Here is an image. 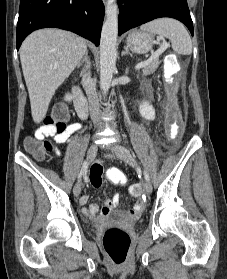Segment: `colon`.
<instances>
[{
    "label": "colon",
    "mask_w": 227,
    "mask_h": 279,
    "mask_svg": "<svg viewBox=\"0 0 227 279\" xmlns=\"http://www.w3.org/2000/svg\"><path fill=\"white\" fill-rule=\"evenodd\" d=\"M184 95L181 96V101L184 104ZM66 110L63 105H58L53 110V115L46 118L45 123L54 128L56 132H61L65 129ZM54 145L48 141L29 140L26 143V150L29 151L36 159L42 160L45 158L48 151L53 149ZM101 171V167L94 166L91 170V175H95ZM110 178L118 184H126L127 177L119 169H114L110 173ZM103 246L109 258L115 263L125 262L128 256L130 239L126 232L119 228H111L106 231L103 237Z\"/></svg>",
    "instance_id": "5ec220e1"
}]
</instances>
